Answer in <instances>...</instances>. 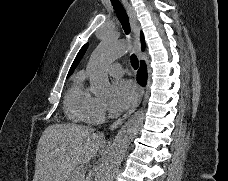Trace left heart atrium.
I'll use <instances>...</instances> for the list:
<instances>
[{
  "label": "left heart atrium",
  "instance_id": "39dd6f15",
  "mask_svg": "<svg viewBox=\"0 0 228 181\" xmlns=\"http://www.w3.org/2000/svg\"><path fill=\"white\" fill-rule=\"evenodd\" d=\"M135 90L131 81L119 79L113 83L111 96V109L122 111L134 97Z\"/></svg>",
  "mask_w": 228,
  "mask_h": 181
}]
</instances>
